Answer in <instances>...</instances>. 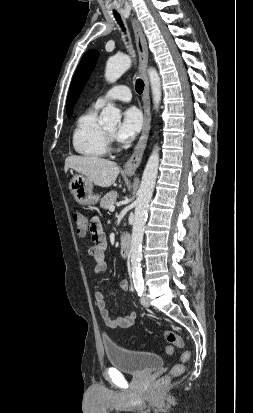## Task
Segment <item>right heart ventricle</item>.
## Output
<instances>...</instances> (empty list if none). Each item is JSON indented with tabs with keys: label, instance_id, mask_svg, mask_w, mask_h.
<instances>
[{
	"label": "right heart ventricle",
	"instance_id": "obj_1",
	"mask_svg": "<svg viewBox=\"0 0 253 413\" xmlns=\"http://www.w3.org/2000/svg\"><path fill=\"white\" fill-rule=\"evenodd\" d=\"M98 107L86 109L76 120L72 134L74 150L87 158H100L107 153L104 128L98 121Z\"/></svg>",
	"mask_w": 253,
	"mask_h": 413
}]
</instances>
